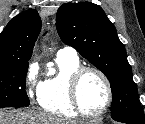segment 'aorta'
Masks as SVG:
<instances>
[{"label":"aorta","instance_id":"762f6f07","mask_svg":"<svg viewBox=\"0 0 145 124\" xmlns=\"http://www.w3.org/2000/svg\"><path fill=\"white\" fill-rule=\"evenodd\" d=\"M50 74H54V70H50Z\"/></svg>","mask_w":145,"mask_h":124}]
</instances>
